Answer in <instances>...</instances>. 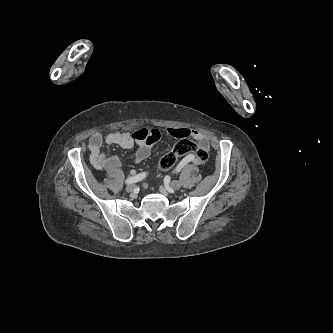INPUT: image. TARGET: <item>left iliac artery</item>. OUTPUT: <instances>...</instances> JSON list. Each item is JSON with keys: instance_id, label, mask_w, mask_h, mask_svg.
<instances>
[{"instance_id": "obj_1", "label": "left iliac artery", "mask_w": 333, "mask_h": 333, "mask_svg": "<svg viewBox=\"0 0 333 333\" xmlns=\"http://www.w3.org/2000/svg\"><path fill=\"white\" fill-rule=\"evenodd\" d=\"M183 167V163H180L177 167H176V171L179 172Z\"/></svg>"}]
</instances>
